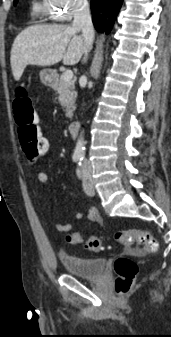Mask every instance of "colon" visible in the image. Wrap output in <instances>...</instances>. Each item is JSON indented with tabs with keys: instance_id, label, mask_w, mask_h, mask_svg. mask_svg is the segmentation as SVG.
<instances>
[{
	"instance_id": "obj_1",
	"label": "colon",
	"mask_w": 171,
	"mask_h": 337,
	"mask_svg": "<svg viewBox=\"0 0 171 337\" xmlns=\"http://www.w3.org/2000/svg\"><path fill=\"white\" fill-rule=\"evenodd\" d=\"M13 108L19 141L26 159L33 163L40 157L47 156L48 151H53V144H48V137H44V132H40L31 99L25 90L16 93ZM66 239L71 244L84 242L85 248L94 252L103 248L101 239L88 237L83 240L82 234L78 231L69 233ZM114 239L123 247L138 253H152L158 249V242L149 231L138 229L118 231ZM114 270L116 291L119 294L128 293L138 272L136 263L129 257H119L114 263Z\"/></svg>"
}]
</instances>
